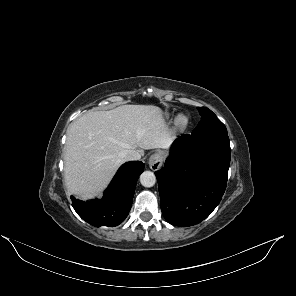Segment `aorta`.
Wrapping results in <instances>:
<instances>
[{"mask_svg": "<svg viewBox=\"0 0 296 296\" xmlns=\"http://www.w3.org/2000/svg\"><path fill=\"white\" fill-rule=\"evenodd\" d=\"M140 182L144 187H152L156 183V177L151 171H144L140 175Z\"/></svg>", "mask_w": 296, "mask_h": 296, "instance_id": "1", "label": "aorta"}]
</instances>
